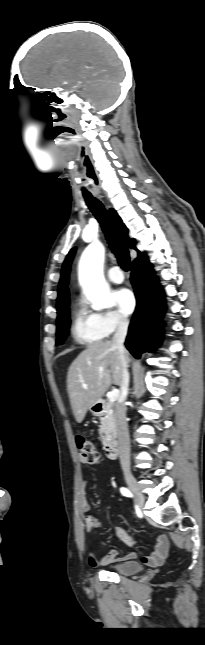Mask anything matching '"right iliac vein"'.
I'll return each instance as SVG.
<instances>
[{
  "label": "right iliac vein",
  "mask_w": 205,
  "mask_h": 645,
  "mask_svg": "<svg viewBox=\"0 0 205 645\" xmlns=\"http://www.w3.org/2000/svg\"><path fill=\"white\" fill-rule=\"evenodd\" d=\"M125 480H126V483L128 484L130 491L135 496V501L138 507L142 508L144 505V495L142 494L135 478L131 474H125Z\"/></svg>",
  "instance_id": "63e3f726"
}]
</instances>
